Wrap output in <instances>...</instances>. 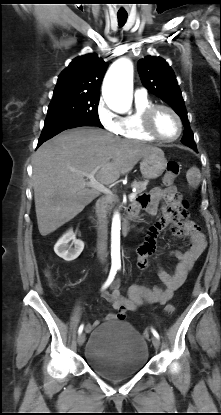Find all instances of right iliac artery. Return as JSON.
Listing matches in <instances>:
<instances>
[{
    "label": "right iliac artery",
    "mask_w": 221,
    "mask_h": 415,
    "mask_svg": "<svg viewBox=\"0 0 221 415\" xmlns=\"http://www.w3.org/2000/svg\"><path fill=\"white\" fill-rule=\"evenodd\" d=\"M117 267H112L111 268V270H110V273H109V276H108V279H107V281L105 282V284H104V286L103 287H107V286H109L110 284H111V282L114 280V278H115V275H116V273H117ZM83 328H84V326H83V324L82 325H80V327H79V329H78V333L80 334V333H82V331H83Z\"/></svg>",
    "instance_id": "right-iliac-artery-1"
}]
</instances>
